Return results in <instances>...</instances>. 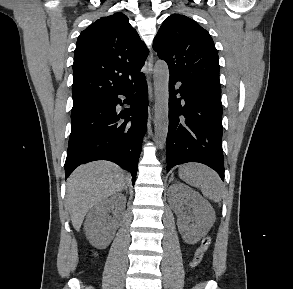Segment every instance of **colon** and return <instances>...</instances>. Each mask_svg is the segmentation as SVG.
<instances>
[{"mask_svg": "<svg viewBox=\"0 0 293 289\" xmlns=\"http://www.w3.org/2000/svg\"><path fill=\"white\" fill-rule=\"evenodd\" d=\"M211 241H212L211 236H206L203 238L201 244L199 245V247L195 251V254L191 260V267L192 268H196L201 263L205 252L207 251V249L209 248V246L211 244Z\"/></svg>", "mask_w": 293, "mask_h": 289, "instance_id": "obj_1", "label": "colon"}]
</instances>
